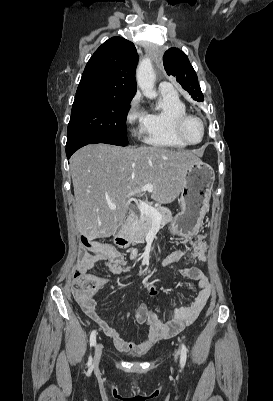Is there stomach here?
<instances>
[{"mask_svg": "<svg viewBox=\"0 0 273 401\" xmlns=\"http://www.w3.org/2000/svg\"><path fill=\"white\" fill-rule=\"evenodd\" d=\"M215 180V172L207 162H193L184 170V182L179 198L181 213L174 217L170 233L178 237H192L203 225L209 209V201Z\"/></svg>", "mask_w": 273, "mask_h": 401, "instance_id": "obj_1", "label": "stomach"}]
</instances>
